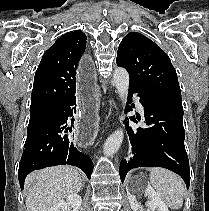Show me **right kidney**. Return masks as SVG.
<instances>
[{
	"label": "right kidney",
	"mask_w": 209,
	"mask_h": 211,
	"mask_svg": "<svg viewBox=\"0 0 209 211\" xmlns=\"http://www.w3.org/2000/svg\"><path fill=\"white\" fill-rule=\"evenodd\" d=\"M82 203V198L78 194H71L66 198V201L61 200L53 205L48 211H68L70 206L72 211H79Z\"/></svg>",
	"instance_id": "ca27d5eb"
}]
</instances>
